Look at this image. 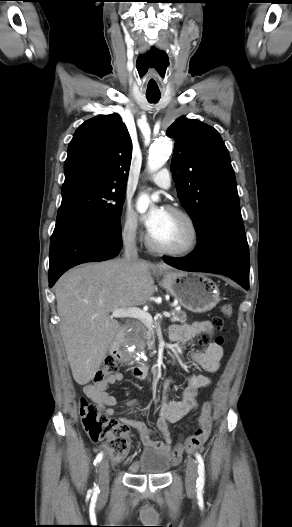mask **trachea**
<instances>
[{"mask_svg": "<svg viewBox=\"0 0 292 527\" xmlns=\"http://www.w3.org/2000/svg\"><path fill=\"white\" fill-rule=\"evenodd\" d=\"M146 97L150 103H156L159 101L161 96L160 94H146Z\"/></svg>", "mask_w": 292, "mask_h": 527, "instance_id": "trachea-1", "label": "trachea"}]
</instances>
